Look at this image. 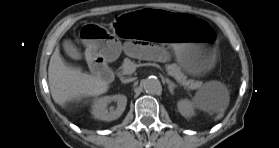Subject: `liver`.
Returning a JSON list of instances; mask_svg holds the SVG:
<instances>
[{"label": "liver", "instance_id": "obj_1", "mask_svg": "<svg viewBox=\"0 0 279 148\" xmlns=\"http://www.w3.org/2000/svg\"><path fill=\"white\" fill-rule=\"evenodd\" d=\"M48 79L52 98L62 108L67 103L96 97L109 89L108 81L101 74H87L80 67L67 65L60 54L59 46L50 58Z\"/></svg>", "mask_w": 279, "mask_h": 148}]
</instances>
